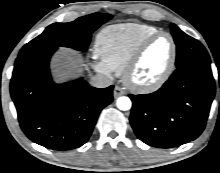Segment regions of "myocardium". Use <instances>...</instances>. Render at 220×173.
<instances>
[{
    "label": "myocardium",
    "mask_w": 220,
    "mask_h": 173,
    "mask_svg": "<svg viewBox=\"0 0 220 173\" xmlns=\"http://www.w3.org/2000/svg\"><path fill=\"white\" fill-rule=\"evenodd\" d=\"M163 36L168 37L171 43V56L167 68L156 80L150 83H137L133 81L132 74L136 70L145 50L152 42ZM176 60H177V45L174 37L169 32L159 31L158 33L153 34L147 37L146 39H144L135 49L134 53L132 54L131 58L127 62L122 72L123 82L129 89H131L136 93H141V94L152 93L158 90L160 87H162L170 78V76L172 75L175 69Z\"/></svg>",
    "instance_id": "1"
}]
</instances>
